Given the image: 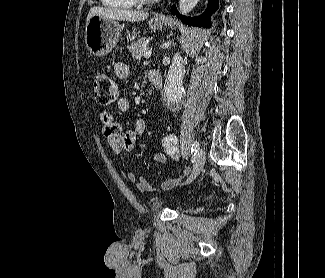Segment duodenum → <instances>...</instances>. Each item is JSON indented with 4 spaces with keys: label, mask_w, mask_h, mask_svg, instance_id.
<instances>
[{
    "label": "duodenum",
    "mask_w": 325,
    "mask_h": 278,
    "mask_svg": "<svg viewBox=\"0 0 325 278\" xmlns=\"http://www.w3.org/2000/svg\"><path fill=\"white\" fill-rule=\"evenodd\" d=\"M149 80L155 89L160 90L162 88L163 82L160 72L150 71Z\"/></svg>",
    "instance_id": "1"
}]
</instances>
